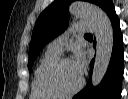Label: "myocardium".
I'll return each instance as SVG.
<instances>
[{
    "instance_id": "myocardium-1",
    "label": "myocardium",
    "mask_w": 128,
    "mask_h": 99,
    "mask_svg": "<svg viewBox=\"0 0 128 99\" xmlns=\"http://www.w3.org/2000/svg\"><path fill=\"white\" fill-rule=\"evenodd\" d=\"M67 61H72L69 57H59L51 64L46 66L40 75V85L43 90L46 92L56 96V97H70L78 93L82 87L84 86L85 80L84 77L81 76L80 83L72 90L63 91L56 86H54L50 78L54 74V72L64 63Z\"/></svg>"
}]
</instances>
